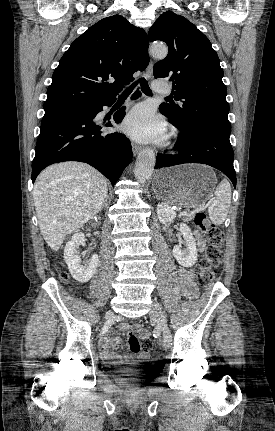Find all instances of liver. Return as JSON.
<instances>
[{"mask_svg":"<svg viewBox=\"0 0 275 431\" xmlns=\"http://www.w3.org/2000/svg\"><path fill=\"white\" fill-rule=\"evenodd\" d=\"M106 178L80 162H63L44 169L33 190L39 227L46 243L59 250L67 234L97 214L107 197Z\"/></svg>","mask_w":275,"mask_h":431,"instance_id":"liver-1","label":"liver"}]
</instances>
